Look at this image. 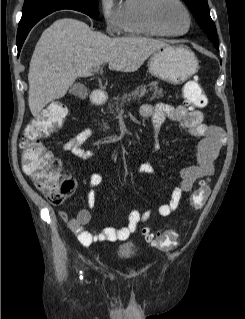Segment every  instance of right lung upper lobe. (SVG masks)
<instances>
[{"instance_id":"right-lung-upper-lobe-1","label":"right lung upper lobe","mask_w":245,"mask_h":319,"mask_svg":"<svg viewBox=\"0 0 245 319\" xmlns=\"http://www.w3.org/2000/svg\"><path fill=\"white\" fill-rule=\"evenodd\" d=\"M52 12H54V11H52ZM52 12H50V13H52ZM45 15H46V13H42V14L36 15V16L28 23V25L31 24V23H33V22H35V21L40 20L41 18L45 17ZM18 28H19V26H18Z\"/></svg>"}]
</instances>
